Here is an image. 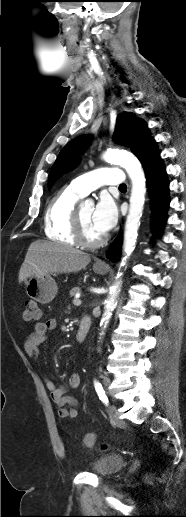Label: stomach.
<instances>
[{
    "mask_svg": "<svg viewBox=\"0 0 186 517\" xmlns=\"http://www.w3.org/2000/svg\"><path fill=\"white\" fill-rule=\"evenodd\" d=\"M93 270L97 274H105L106 266H94ZM58 287L50 274L33 276L26 282L27 295L41 304L50 303L56 296Z\"/></svg>",
    "mask_w": 186,
    "mask_h": 517,
    "instance_id": "1",
    "label": "stomach"
}]
</instances>
